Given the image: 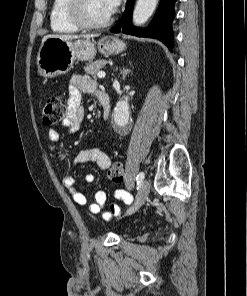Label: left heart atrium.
Listing matches in <instances>:
<instances>
[{"instance_id": "1", "label": "left heart atrium", "mask_w": 247, "mask_h": 296, "mask_svg": "<svg viewBox=\"0 0 247 296\" xmlns=\"http://www.w3.org/2000/svg\"><path fill=\"white\" fill-rule=\"evenodd\" d=\"M104 4L108 14L111 15L117 10L120 0H104Z\"/></svg>"}]
</instances>
